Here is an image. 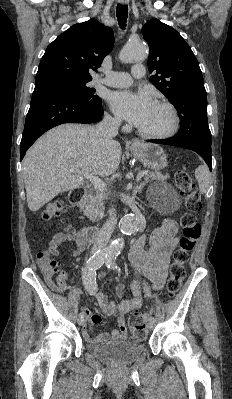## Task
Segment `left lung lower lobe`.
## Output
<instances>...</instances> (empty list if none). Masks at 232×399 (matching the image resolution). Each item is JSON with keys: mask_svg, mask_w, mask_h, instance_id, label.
<instances>
[{"mask_svg": "<svg viewBox=\"0 0 232 399\" xmlns=\"http://www.w3.org/2000/svg\"><path fill=\"white\" fill-rule=\"evenodd\" d=\"M147 141L157 144L172 145L193 150L197 152L205 160L206 164L209 166V169L210 170L212 169L211 148L205 147L200 143L188 140H182L175 137L165 140H147Z\"/></svg>", "mask_w": 232, "mask_h": 399, "instance_id": "left-lung-lower-lobe-1", "label": "left lung lower lobe"}]
</instances>
